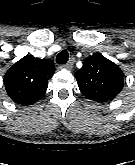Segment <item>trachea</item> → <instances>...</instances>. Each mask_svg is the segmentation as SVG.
Here are the masks:
<instances>
[{
	"label": "trachea",
	"mask_w": 135,
	"mask_h": 165,
	"mask_svg": "<svg viewBox=\"0 0 135 165\" xmlns=\"http://www.w3.org/2000/svg\"><path fill=\"white\" fill-rule=\"evenodd\" d=\"M68 52L66 50H62L56 57V62L58 64H65L68 61Z\"/></svg>",
	"instance_id": "trachea-1"
}]
</instances>
